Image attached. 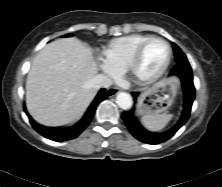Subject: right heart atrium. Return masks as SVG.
<instances>
[{
  "label": "right heart atrium",
  "mask_w": 222,
  "mask_h": 187,
  "mask_svg": "<svg viewBox=\"0 0 222 187\" xmlns=\"http://www.w3.org/2000/svg\"><path fill=\"white\" fill-rule=\"evenodd\" d=\"M100 69L109 77L115 78L118 75V71L106 60L100 61Z\"/></svg>",
  "instance_id": "1"
}]
</instances>
